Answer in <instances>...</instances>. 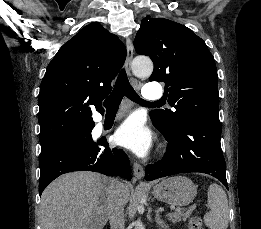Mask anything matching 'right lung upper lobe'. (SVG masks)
I'll use <instances>...</instances> for the list:
<instances>
[{"label": "right lung upper lobe", "mask_w": 261, "mask_h": 229, "mask_svg": "<svg viewBox=\"0 0 261 229\" xmlns=\"http://www.w3.org/2000/svg\"><path fill=\"white\" fill-rule=\"evenodd\" d=\"M126 48L98 22L85 26L49 63L40 85V137L55 147L94 127L89 104L101 109Z\"/></svg>", "instance_id": "obj_1"}]
</instances>
